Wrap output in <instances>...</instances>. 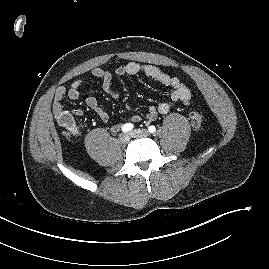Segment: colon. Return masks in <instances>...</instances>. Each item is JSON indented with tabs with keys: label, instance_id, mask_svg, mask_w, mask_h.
Wrapping results in <instances>:
<instances>
[{
	"label": "colon",
	"instance_id": "obj_1",
	"mask_svg": "<svg viewBox=\"0 0 269 269\" xmlns=\"http://www.w3.org/2000/svg\"><path fill=\"white\" fill-rule=\"evenodd\" d=\"M190 122H191V125L193 127L194 130L198 131L202 128V125H203V116L201 115V113L197 112V111H192L190 113ZM64 121L67 123L69 122V118L68 117H65L64 118Z\"/></svg>",
	"mask_w": 269,
	"mask_h": 269
}]
</instances>
